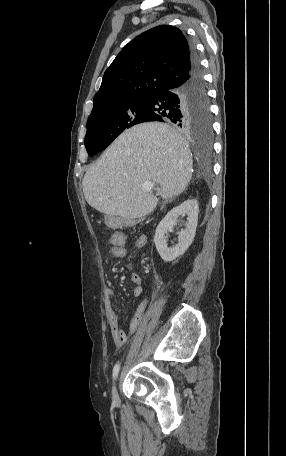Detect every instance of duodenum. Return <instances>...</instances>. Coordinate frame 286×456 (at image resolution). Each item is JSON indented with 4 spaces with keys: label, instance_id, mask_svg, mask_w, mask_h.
Masks as SVG:
<instances>
[{
    "label": "duodenum",
    "instance_id": "obj_1",
    "mask_svg": "<svg viewBox=\"0 0 286 456\" xmlns=\"http://www.w3.org/2000/svg\"><path fill=\"white\" fill-rule=\"evenodd\" d=\"M122 225H134L136 220L134 218H119Z\"/></svg>",
    "mask_w": 286,
    "mask_h": 456
}]
</instances>
